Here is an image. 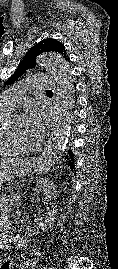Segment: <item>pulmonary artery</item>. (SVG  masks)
I'll return each mask as SVG.
<instances>
[{
  "instance_id": "obj_1",
  "label": "pulmonary artery",
  "mask_w": 118,
  "mask_h": 269,
  "mask_svg": "<svg viewBox=\"0 0 118 269\" xmlns=\"http://www.w3.org/2000/svg\"><path fill=\"white\" fill-rule=\"evenodd\" d=\"M53 87L54 82L46 75L34 76L20 81L0 95V108L13 111L29 88L44 90Z\"/></svg>"
}]
</instances>
